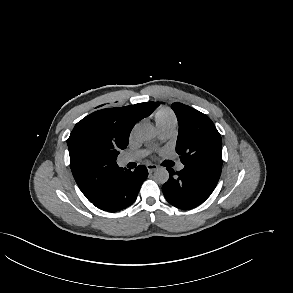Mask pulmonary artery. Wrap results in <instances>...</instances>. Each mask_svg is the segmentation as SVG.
Listing matches in <instances>:
<instances>
[{
	"label": "pulmonary artery",
	"instance_id": "pulmonary-artery-1",
	"mask_svg": "<svg viewBox=\"0 0 293 293\" xmlns=\"http://www.w3.org/2000/svg\"><path fill=\"white\" fill-rule=\"evenodd\" d=\"M175 129H176L175 127L161 128V129H159V134H160L162 139H169V138L174 136ZM144 155H145V151H138V152H136L134 154L126 155V156L121 158V163L122 164H127L129 162L137 161L140 158H142ZM183 168H184V165L182 163H180L178 165V169L182 170Z\"/></svg>",
	"mask_w": 293,
	"mask_h": 293
}]
</instances>
